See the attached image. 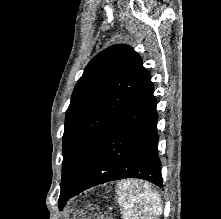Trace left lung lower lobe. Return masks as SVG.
Wrapping results in <instances>:
<instances>
[{"label": "left lung lower lobe", "instance_id": "1", "mask_svg": "<svg viewBox=\"0 0 221 219\" xmlns=\"http://www.w3.org/2000/svg\"><path fill=\"white\" fill-rule=\"evenodd\" d=\"M153 91L149 80L106 130L68 199L95 185L124 178H140L163 186Z\"/></svg>", "mask_w": 221, "mask_h": 219}]
</instances>
